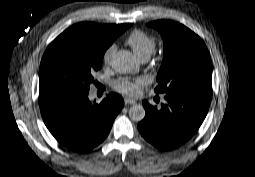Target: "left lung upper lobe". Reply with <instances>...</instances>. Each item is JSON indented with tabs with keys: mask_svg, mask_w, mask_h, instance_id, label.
I'll use <instances>...</instances> for the list:
<instances>
[{
	"mask_svg": "<svg viewBox=\"0 0 255 177\" xmlns=\"http://www.w3.org/2000/svg\"><path fill=\"white\" fill-rule=\"evenodd\" d=\"M147 26L158 30L164 42V58L157 75L156 93L186 90L212 91V63L202 39L184 25L158 20Z\"/></svg>",
	"mask_w": 255,
	"mask_h": 177,
	"instance_id": "left-lung-upper-lobe-1",
	"label": "left lung upper lobe"
}]
</instances>
